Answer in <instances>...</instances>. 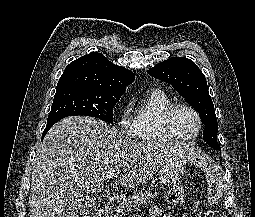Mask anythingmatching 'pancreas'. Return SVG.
Here are the masks:
<instances>
[{
	"label": "pancreas",
	"mask_w": 255,
	"mask_h": 217,
	"mask_svg": "<svg viewBox=\"0 0 255 217\" xmlns=\"http://www.w3.org/2000/svg\"><path fill=\"white\" fill-rule=\"evenodd\" d=\"M157 196V193L151 191H136L129 198L123 200L116 206L111 208V217H122L126 213L131 212L134 208H138L141 205L148 206L153 202L154 197Z\"/></svg>",
	"instance_id": "1"
}]
</instances>
